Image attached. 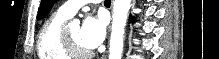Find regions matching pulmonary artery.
I'll return each instance as SVG.
<instances>
[{
	"mask_svg": "<svg viewBox=\"0 0 219 59\" xmlns=\"http://www.w3.org/2000/svg\"><path fill=\"white\" fill-rule=\"evenodd\" d=\"M89 2L91 1H86V0L67 1L59 7L58 11L68 17H72L80 7H82L84 4Z\"/></svg>",
	"mask_w": 219,
	"mask_h": 59,
	"instance_id": "e3ab8cb5",
	"label": "pulmonary artery"
}]
</instances>
